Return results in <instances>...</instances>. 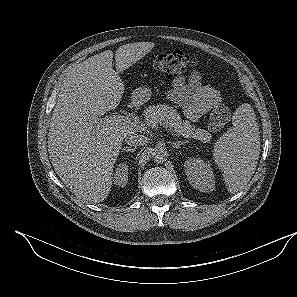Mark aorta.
Wrapping results in <instances>:
<instances>
[{"label": "aorta", "instance_id": "aorta-1", "mask_svg": "<svg viewBox=\"0 0 297 297\" xmlns=\"http://www.w3.org/2000/svg\"><path fill=\"white\" fill-rule=\"evenodd\" d=\"M152 160L156 163H163L168 158V152L164 147H156L152 150Z\"/></svg>", "mask_w": 297, "mask_h": 297}]
</instances>
